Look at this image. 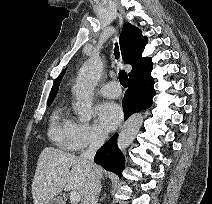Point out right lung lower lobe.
<instances>
[{"label":"right lung lower lobe","mask_w":212,"mask_h":204,"mask_svg":"<svg viewBox=\"0 0 212 204\" xmlns=\"http://www.w3.org/2000/svg\"><path fill=\"white\" fill-rule=\"evenodd\" d=\"M153 85L154 80L151 76V69L129 80V88L123 99L125 119L133 113L147 109L152 105V98L155 95ZM117 137L118 134H115L97 151L94 161L104 169L122 176L124 157L118 149Z\"/></svg>","instance_id":"obj_1"}]
</instances>
